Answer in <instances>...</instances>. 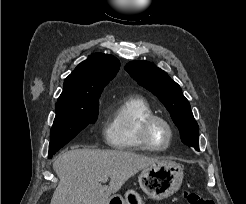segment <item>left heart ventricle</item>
<instances>
[{
    "label": "left heart ventricle",
    "mask_w": 246,
    "mask_h": 204,
    "mask_svg": "<svg viewBox=\"0 0 246 204\" xmlns=\"http://www.w3.org/2000/svg\"><path fill=\"white\" fill-rule=\"evenodd\" d=\"M151 141L156 146L166 145L169 139V132L162 123H155L151 130Z\"/></svg>",
    "instance_id": "left-heart-ventricle-1"
}]
</instances>
